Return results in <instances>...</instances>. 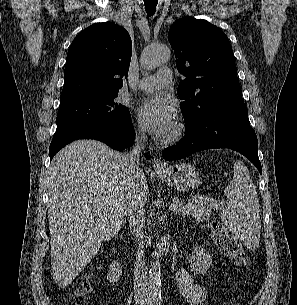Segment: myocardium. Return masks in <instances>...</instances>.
I'll return each instance as SVG.
<instances>
[{
  "mask_svg": "<svg viewBox=\"0 0 297 305\" xmlns=\"http://www.w3.org/2000/svg\"><path fill=\"white\" fill-rule=\"evenodd\" d=\"M185 132V125L181 121H177L172 132L162 140L165 145H171L178 142Z\"/></svg>",
  "mask_w": 297,
  "mask_h": 305,
  "instance_id": "myocardium-1",
  "label": "myocardium"
}]
</instances>
